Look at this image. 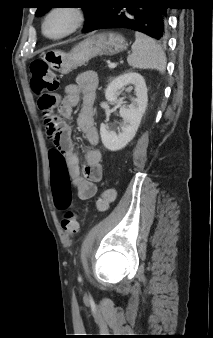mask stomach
<instances>
[{"mask_svg": "<svg viewBox=\"0 0 213 338\" xmlns=\"http://www.w3.org/2000/svg\"><path fill=\"white\" fill-rule=\"evenodd\" d=\"M125 38L117 33H91L69 53L48 51L43 59L55 71L68 74L98 55H115L127 49Z\"/></svg>", "mask_w": 213, "mask_h": 338, "instance_id": "stomach-1", "label": "stomach"}]
</instances>
